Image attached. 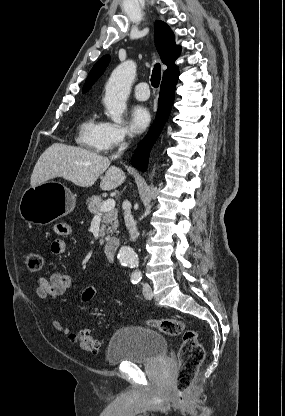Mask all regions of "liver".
<instances>
[{"mask_svg": "<svg viewBox=\"0 0 285 416\" xmlns=\"http://www.w3.org/2000/svg\"><path fill=\"white\" fill-rule=\"evenodd\" d=\"M104 172L106 174L100 182L104 192L115 190L126 180L124 172L110 166V160L100 154L65 144H52L36 162L30 184L34 188L53 178H64L80 188H90Z\"/></svg>", "mask_w": 285, "mask_h": 416, "instance_id": "obj_1", "label": "liver"}]
</instances>
